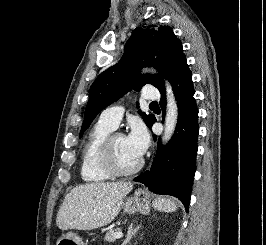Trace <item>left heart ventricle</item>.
Returning <instances> with one entry per match:
<instances>
[{
	"label": "left heart ventricle",
	"instance_id": "obj_1",
	"mask_svg": "<svg viewBox=\"0 0 266 245\" xmlns=\"http://www.w3.org/2000/svg\"><path fill=\"white\" fill-rule=\"evenodd\" d=\"M112 153L114 163L121 171L132 169L139 160L129 151L124 136L115 137L112 144Z\"/></svg>",
	"mask_w": 266,
	"mask_h": 245
}]
</instances>
